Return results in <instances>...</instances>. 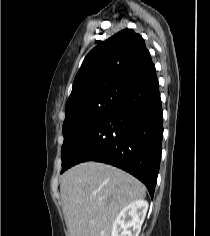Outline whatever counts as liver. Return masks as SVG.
Returning a JSON list of instances; mask_svg holds the SVG:
<instances>
[{
	"mask_svg": "<svg viewBox=\"0 0 210 236\" xmlns=\"http://www.w3.org/2000/svg\"><path fill=\"white\" fill-rule=\"evenodd\" d=\"M60 191L70 236H111L119 212L146 195L145 186L133 176L97 162L65 172Z\"/></svg>",
	"mask_w": 210,
	"mask_h": 236,
	"instance_id": "6515ba94",
	"label": "liver"
}]
</instances>
